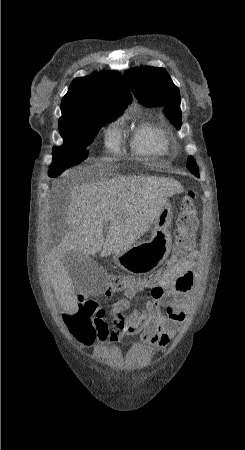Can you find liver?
Instances as JSON below:
<instances>
[{"instance_id": "6515ba94", "label": "liver", "mask_w": 245, "mask_h": 450, "mask_svg": "<svg viewBox=\"0 0 245 450\" xmlns=\"http://www.w3.org/2000/svg\"><path fill=\"white\" fill-rule=\"evenodd\" d=\"M182 192L180 182L155 176H118L73 184L66 216L70 231L46 258L56 298L67 313H76L78 303L66 256L127 251L149 230L168 198ZM107 221L104 239L103 223Z\"/></svg>"}]
</instances>
